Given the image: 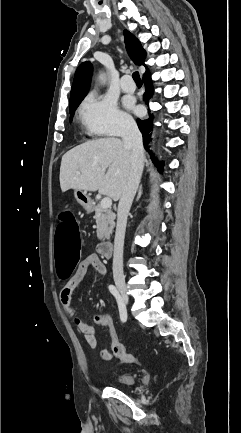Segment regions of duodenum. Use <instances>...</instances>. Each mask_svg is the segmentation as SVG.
<instances>
[{"label": "duodenum", "mask_w": 241, "mask_h": 433, "mask_svg": "<svg viewBox=\"0 0 241 433\" xmlns=\"http://www.w3.org/2000/svg\"><path fill=\"white\" fill-rule=\"evenodd\" d=\"M113 244L109 241L101 242L98 245L99 253L105 257L110 258L112 256Z\"/></svg>", "instance_id": "1"}]
</instances>
